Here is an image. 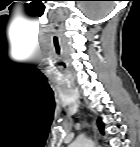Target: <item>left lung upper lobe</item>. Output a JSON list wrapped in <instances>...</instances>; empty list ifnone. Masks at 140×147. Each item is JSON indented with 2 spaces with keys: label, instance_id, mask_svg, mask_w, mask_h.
I'll use <instances>...</instances> for the list:
<instances>
[{
  "label": "left lung upper lobe",
  "instance_id": "5c2ea615",
  "mask_svg": "<svg viewBox=\"0 0 140 147\" xmlns=\"http://www.w3.org/2000/svg\"><path fill=\"white\" fill-rule=\"evenodd\" d=\"M98 126H99V129H100V132L102 134H104V131H103L104 130V124L102 123L100 118L98 119Z\"/></svg>",
  "mask_w": 140,
  "mask_h": 147
}]
</instances>
